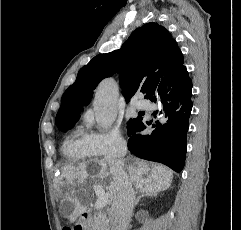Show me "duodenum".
Masks as SVG:
<instances>
[{
  "instance_id": "obj_1",
  "label": "duodenum",
  "mask_w": 241,
  "mask_h": 230,
  "mask_svg": "<svg viewBox=\"0 0 241 230\" xmlns=\"http://www.w3.org/2000/svg\"><path fill=\"white\" fill-rule=\"evenodd\" d=\"M90 219L89 215L87 213H84L82 216H81V222L82 223H86L88 220Z\"/></svg>"
}]
</instances>
